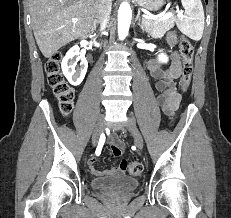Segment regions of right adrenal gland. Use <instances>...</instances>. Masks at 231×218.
I'll return each instance as SVG.
<instances>
[{
  "instance_id": "1",
  "label": "right adrenal gland",
  "mask_w": 231,
  "mask_h": 218,
  "mask_svg": "<svg viewBox=\"0 0 231 218\" xmlns=\"http://www.w3.org/2000/svg\"><path fill=\"white\" fill-rule=\"evenodd\" d=\"M98 24H99L98 21L95 20L94 23H93V28L96 29V27H97Z\"/></svg>"
}]
</instances>
